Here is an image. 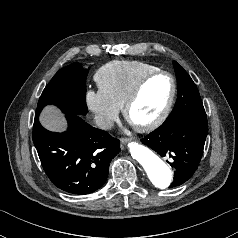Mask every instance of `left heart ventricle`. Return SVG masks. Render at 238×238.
<instances>
[{
	"instance_id": "obj_1",
	"label": "left heart ventricle",
	"mask_w": 238,
	"mask_h": 238,
	"mask_svg": "<svg viewBox=\"0 0 238 238\" xmlns=\"http://www.w3.org/2000/svg\"><path fill=\"white\" fill-rule=\"evenodd\" d=\"M170 91V80L166 76H157L151 79L130 110L131 123L144 125L154 120L165 107Z\"/></svg>"
}]
</instances>
